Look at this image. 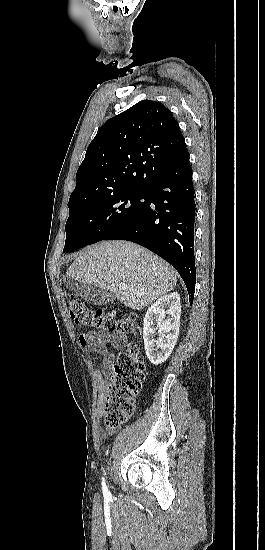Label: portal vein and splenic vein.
<instances>
[{"label": "portal vein and splenic vein", "instance_id": "18ae733b", "mask_svg": "<svg viewBox=\"0 0 265 550\" xmlns=\"http://www.w3.org/2000/svg\"><path fill=\"white\" fill-rule=\"evenodd\" d=\"M119 289L125 290V289H126V285H125V284H120V285H119Z\"/></svg>", "mask_w": 265, "mask_h": 550}]
</instances>
